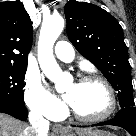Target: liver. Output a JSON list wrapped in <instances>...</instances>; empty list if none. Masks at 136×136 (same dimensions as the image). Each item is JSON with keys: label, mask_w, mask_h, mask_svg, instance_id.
<instances>
[{"label": "liver", "mask_w": 136, "mask_h": 136, "mask_svg": "<svg viewBox=\"0 0 136 136\" xmlns=\"http://www.w3.org/2000/svg\"><path fill=\"white\" fill-rule=\"evenodd\" d=\"M90 130V128H83L77 129L76 132L83 133ZM31 134H35L31 127L9 115L0 113V136H30Z\"/></svg>", "instance_id": "1"}]
</instances>
